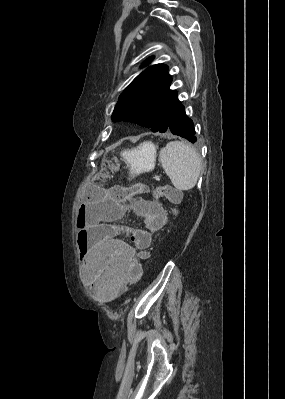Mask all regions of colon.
I'll return each instance as SVG.
<instances>
[{
	"mask_svg": "<svg viewBox=\"0 0 285 399\" xmlns=\"http://www.w3.org/2000/svg\"><path fill=\"white\" fill-rule=\"evenodd\" d=\"M87 186L93 190H101V177L94 176L89 179ZM151 193L155 198H164L170 202H177L180 199L179 190L170 185L149 186L145 183H140L132 187H124L114 185L110 187L106 194L112 200H126L130 197ZM143 275V265L139 259H136L130 268V277L138 280Z\"/></svg>",
	"mask_w": 285,
	"mask_h": 399,
	"instance_id": "1",
	"label": "colon"
}]
</instances>
